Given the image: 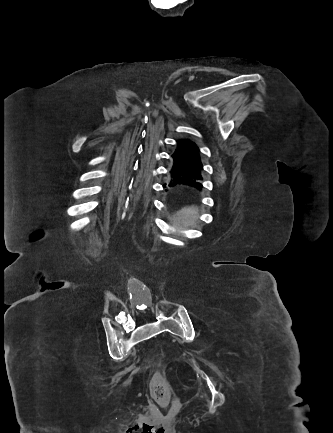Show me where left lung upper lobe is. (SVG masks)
<instances>
[{"instance_id": "obj_1", "label": "left lung upper lobe", "mask_w": 333, "mask_h": 433, "mask_svg": "<svg viewBox=\"0 0 333 433\" xmlns=\"http://www.w3.org/2000/svg\"><path fill=\"white\" fill-rule=\"evenodd\" d=\"M184 141H186V142L192 144L193 146L197 147V145H196L194 142H192V141H190V140H188V139H185ZM197 148H198V147H197ZM198 149H199V148H198Z\"/></svg>"}]
</instances>
